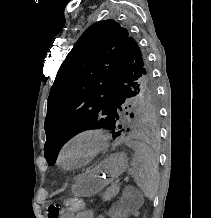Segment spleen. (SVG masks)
I'll return each mask as SVG.
<instances>
[{
  "instance_id": "1",
  "label": "spleen",
  "mask_w": 211,
  "mask_h": 218,
  "mask_svg": "<svg viewBox=\"0 0 211 218\" xmlns=\"http://www.w3.org/2000/svg\"><path fill=\"white\" fill-rule=\"evenodd\" d=\"M131 166L135 170L134 182L149 200H154L159 186L157 162L151 150H135Z\"/></svg>"
}]
</instances>
